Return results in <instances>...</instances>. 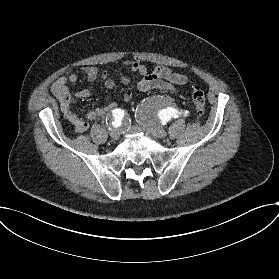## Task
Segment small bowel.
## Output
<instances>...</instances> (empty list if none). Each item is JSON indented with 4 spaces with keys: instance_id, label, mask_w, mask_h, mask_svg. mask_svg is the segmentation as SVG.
Here are the masks:
<instances>
[{
    "instance_id": "1",
    "label": "small bowel",
    "mask_w": 279,
    "mask_h": 279,
    "mask_svg": "<svg viewBox=\"0 0 279 279\" xmlns=\"http://www.w3.org/2000/svg\"><path fill=\"white\" fill-rule=\"evenodd\" d=\"M126 67L132 72L140 75L138 87L141 91H149L153 89L174 90L175 85H184L188 81V77L184 74L171 71L164 66H156L152 69L138 61H126ZM83 73L89 81H94L98 77L103 80L104 86L107 89H112L115 86V82L111 78L108 71H102L101 73L94 67H84ZM78 76L74 72H67L59 77L52 85L51 91L57 98L60 104L61 111L66 120H68L74 127L77 133H83L89 128V121H92L100 116L104 115L109 109L115 108L116 103H112L106 108H95L89 110L84 117H81L79 112L72 106L71 95L68 89L69 83H76ZM120 81L124 85H128L131 79L127 76H121ZM91 96V92L87 89L79 90L75 93L77 98H88ZM132 93L125 91L123 93V101L129 103L132 100Z\"/></svg>"
}]
</instances>
